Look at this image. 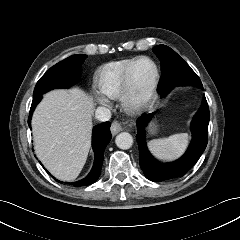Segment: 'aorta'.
I'll use <instances>...</instances> for the list:
<instances>
[{
    "label": "aorta",
    "instance_id": "aorta-1",
    "mask_svg": "<svg viewBox=\"0 0 240 240\" xmlns=\"http://www.w3.org/2000/svg\"><path fill=\"white\" fill-rule=\"evenodd\" d=\"M115 143L118 148L127 150L133 144V137L127 132H122L116 136Z\"/></svg>",
    "mask_w": 240,
    "mask_h": 240
}]
</instances>
